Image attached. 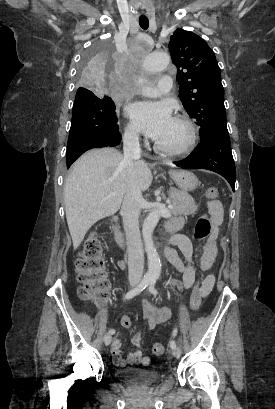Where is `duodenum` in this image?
I'll return each instance as SVG.
<instances>
[{
  "label": "duodenum",
  "instance_id": "duodenum-1",
  "mask_svg": "<svg viewBox=\"0 0 275 409\" xmlns=\"http://www.w3.org/2000/svg\"><path fill=\"white\" fill-rule=\"evenodd\" d=\"M113 221H114V224H113V232H114V235H115V239H116L117 243H118L121 247H124V246H125L124 235H123V233L121 232L119 226H118L117 223H116L117 219L114 218ZM176 228H177V226L174 225V224H172V225H170V226L168 227L169 231H172V232L175 231Z\"/></svg>",
  "mask_w": 275,
  "mask_h": 409
}]
</instances>
